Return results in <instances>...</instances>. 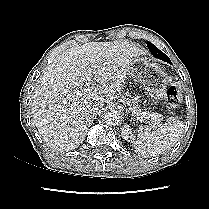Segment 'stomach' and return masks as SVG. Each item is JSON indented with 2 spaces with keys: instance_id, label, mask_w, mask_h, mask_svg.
I'll list each match as a JSON object with an SVG mask.
<instances>
[{
  "instance_id": "1",
  "label": "stomach",
  "mask_w": 209,
  "mask_h": 209,
  "mask_svg": "<svg viewBox=\"0 0 209 209\" xmlns=\"http://www.w3.org/2000/svg\"><path fill=\"white\" fill-rule=\"evenodd\" d=\"M128 74L138 79L147 94L159 101L166 94L169 77L160 66L137 57L129 65Z\"/></svg>"
}]
</instances>
